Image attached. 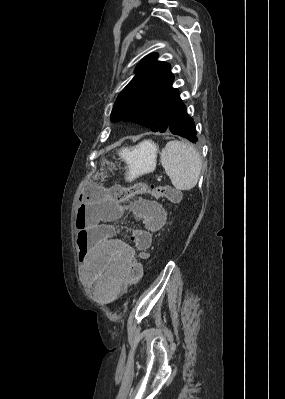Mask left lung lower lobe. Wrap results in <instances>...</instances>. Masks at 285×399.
I'll use <instances>...</instances> for the list:
<instances>
[{"mask_svg": "<svg viewBox=\"0 0 285 399\" xmlns=\"http://www.w3.org/2000/svg\"><path fill=\"white\" fill-rule=\"evenodd\" d=\"M166 131L185 137L192 143L198 141V138L196 137L197 132L195 129V123L187 114L186 106L182 100L173 112Z\"/></svg>", "mask_w": 285, "mask_h": 399, "instance_id": "0a47b994", "label": "left lung lower lobe"}]
</instances>
